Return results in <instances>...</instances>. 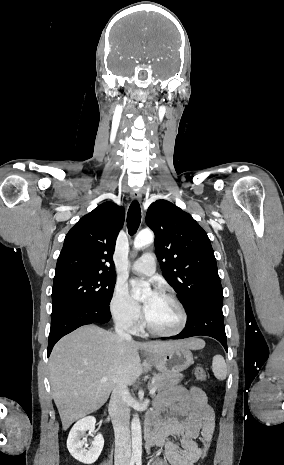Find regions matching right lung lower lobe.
Returning <instances> with one entry per match:
<instances>
[{
    "label": "right lung lower lobe",
    "mask_w": 284,
    "mask_h": 465,
    "mask_svg": "<svg viewBox=\"0 0 284 465\" xmlns=\"http://www.w3.org/2000/svg\"><path fill=\"white\" fill-rule=\"evenodd\" d=\"M111 318L109 306L75 303L52 313L48 357L55 343L64 335L86 324H104Z\"/></svg>",
    "instance_id": "98d812e1"
}]
</instances>
